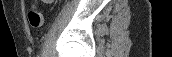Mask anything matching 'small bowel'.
<instances>
[{
    "label": "small bowel",
    "mask_w": 172,
    "mask_h": 57,
    "mask_svg": "<svg viewBox=\"0 0 172 57\" xmlns=\"http://www.w3.org/2000/svg\"><path fill=\"white\" fill-rule=\"evenodd\" d=\"M47 3H50L51 1L50 0H46Z\"/></svg>",
    "instance_id": "1"
}]
</instances>
